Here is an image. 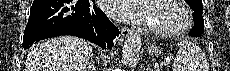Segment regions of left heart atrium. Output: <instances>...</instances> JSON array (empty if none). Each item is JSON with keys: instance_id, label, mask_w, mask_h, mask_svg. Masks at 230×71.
<instances>
[{"instance_id": "1", "label": "left heart atrium", "mask_w": 230, "mask_h": 71, "mask_svg": "<svg viewBox=\"0 0 230 71\" xmlns=\"http://www.w3.org/2000/svg\"><path fill=\"white\" fill-rule=\"evenodd\" d=\"M149 0H103L104 9L112 16L132 24L149 23Z\"/></svg>"}]
</instances>
